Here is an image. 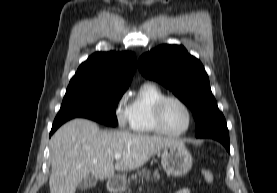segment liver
Segmentation results:
<instances>
[{"label":"liver","instance_id":"liver-1","mask_svg":"<svg viewBox=\"0 0 277 193\" xmlns=\"http://www.w3.org/2000/svg\"><path fill=\"white\" fill-rule=\"evenodd\" d=\"M181 143L161 136L102 131L90 120H71L51 138L50 193H75L78 184L88 176L110 179L115 170L139 168L165 147ZM117 153H121V159L113 164Z\"/></svg>","mask_w":277,"mask_h":193}]
</instances>
